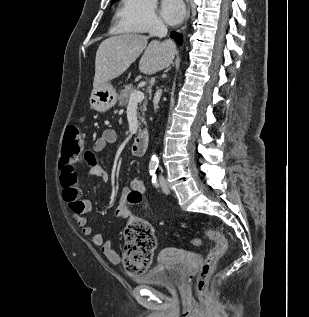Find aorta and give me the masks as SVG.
Segmentation results:
<instances>
[{"instance_id":"762f6f07","label":"aorta","mask_w":309,"mask_h":317,"mask_svg":"<svg viewBox=\"0 0 309 317\" xmlns=\"http://www.w3.org/2000/svg\"><path fill=\"white\" fill-rule=\"evenodd\" d=\"M158 162H159V161H158L157 155H156V154H153V155L151 156V159H150V164L156 166V165H158Z\"/></svg>"}]
</instances>
